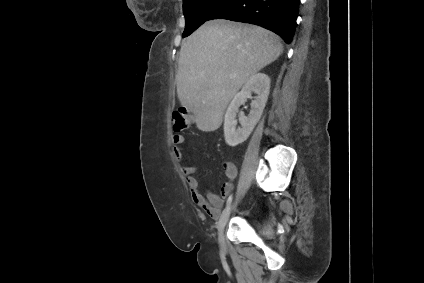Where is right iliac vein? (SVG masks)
<instances>
[{"label":"right iliac vein","instance_id":"obj_1","mask_svg":"<svg viewBox=\"0 0 424 283\" xmlns=\"http://www.w3.org/2000/svg\"><path fill=\"white\" fill-rule=\"evenodd\" d=\"M235 208L234 204H230L222 213L219 222H218V239H219V244L221 246L222 249L225 248V241H224V228L228 222V219L230 217V214L232 212V210Z\"/></svg>","mask_w":424,"mask_h":283}]
</instances>
